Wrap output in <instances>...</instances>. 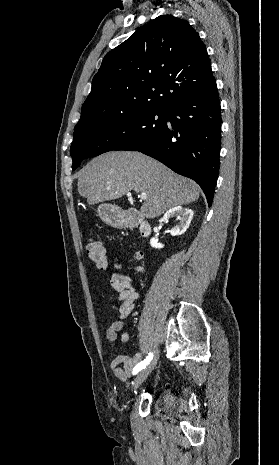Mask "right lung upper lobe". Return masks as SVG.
Returning <instances> with one entry per match:
<instances>
[{
    "label": "right lung upper lobe",
    "mask_w": 279,
    "mask_h": 465,
    "mask_svg": "<svg viewBox=\"0 0 279 465\" xmlns=\"http://www.w3.org/2000/svg\"><path fill=\"white\" fill-rule=\"evenodd\" d=\"M214 79L206 47L186 21L161 15L103 58L78 126H97L144 109L165 110Z\"/></svg>",
    "instance_id": "obj_1"
}]
</instances>
